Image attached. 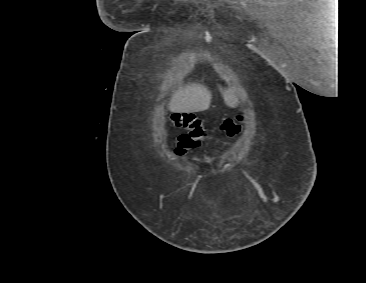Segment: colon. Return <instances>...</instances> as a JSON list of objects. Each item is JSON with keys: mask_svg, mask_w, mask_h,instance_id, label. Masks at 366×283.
Here are the masks:
<instances>
[{"mask_svg": "<svg viewBox=\"0 0 366 283\" xmlns=\"http://www.w3.org/2000/svg\"><path fill=\"white\" fill-rule=\"evenodd\" d=\"M169 120L174 126L185 130L179 136L175 149V153L179 156H183L198 147L200 142L207 136L204 120L195 114L175 113L170 116ZM241 122V116L226 119L221 126L225 137L236 135L241 129Z\"/></svg>", "mask_w": 366, "mask_h": 283, "instance_id": "colon-1", "label": "colon"}]
</instances>
